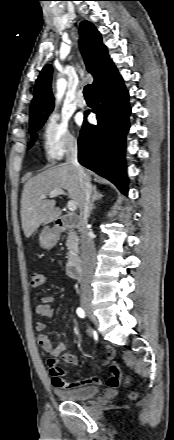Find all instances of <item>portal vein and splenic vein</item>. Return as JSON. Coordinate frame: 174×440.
Returning a JSON list of instances; mask_svg holds the SVG:
<instances>
[{
    "mask_svg": "<svg viewBox=\"0 0 174 440\" xmlns=\"http://www.w3.org/2000/svg\"><path fill=\"white\" fill-rule=\"evenodd\" d=\"M58 195H66V193L63 190H61V189H56V190L52 191L48 196L47 195H41V198L42 199H46L47 197L54 198V197H56ZM67 207H68L69 211L73 212V211H75L77 209V204H76L75 201L70 200V201H68Z\"/></svg>",
    "mask_w": 174,
    "mask_h": 440,
    "instance_id": "18ae733b",
    "label": "portal vein and splenic vein"
}]
</instances>
